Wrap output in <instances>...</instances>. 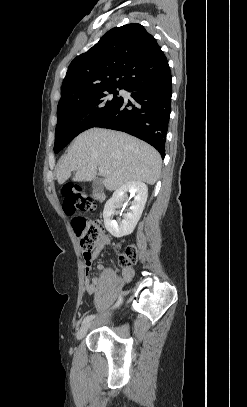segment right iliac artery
Instances as JSON below:
<instances>
[{
	"mask_svg": "<svg viewBox=\"0 0 247 407\" xmlns=\"http://www.w3.org/2000/svg\"><path fill=\"white\" fill-rule=\"evenodd\" d=\"M122 302V297L120 296L118 301L116 302V304L114 305V307L119 306ZM95 317V315H89L87 317L84 318L83 320V324L88 323L89 321H91L93 318Z\"/></svg>",
	"mask_w": 247,
	"mask_h": 407,
	"instance_id": "1",
	"label": "right iliac artery"
}]
</instances>
